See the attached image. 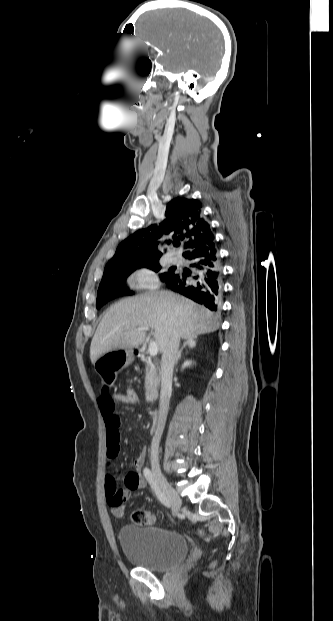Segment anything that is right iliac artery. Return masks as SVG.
Returning <instances> with one entry per match:
<instances>
[{
  "label": "right iliac artery",
  "instance_id": "1",
  "mask_svg": "<svg viewBox=\"0 0 333 621\" xmlns=\"http://www.w3.org/2000/svg\"><path fill=\"white\" fill-rule=\"evenodd\" d=\"M143 474L146 478V480L149 482L152 490L154 491L156 497L158 498V500L165 505L166 507L170 508L171 504L168 500V498L166 497V495L164 494V492L161 490V488L158 486L156 480L154 479V476L152 474V472L150 471V469H148L147 467L144 468L143 470Z\"/></svg>",
  "mask_w": 333,
  "mask_h": 621
}]
</instances>
